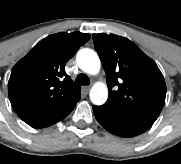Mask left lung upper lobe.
<instances>
[{
	"mask_svg": "<svg viewBox=\"0 0 181 164\" xmlns=\"http://www.w3.org/2000/svg\"><path fill=\"white\" fill-rule=\"evenodd\" d=\"M93 42L107 74V101L155 121L166 97L156 63L125 37L99 33Z\"/></svg>",
	"mask_w": 181,
	"mask_h": 164,
	"instance_id": "5c2ea615",
	"label": "left lung upper lobe"
}]
</instances>
